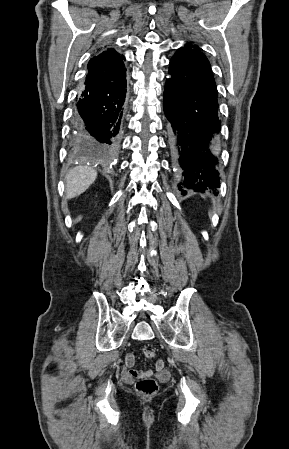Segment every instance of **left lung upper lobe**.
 <instances>
[{
  "label": "left lung upper lobe",
  "instance_id": "obj_1",
  "mask_svg": "<svg viewBox=\"0 0 289 449\" xmlns=\"http://www.w3.org/2000/svg\"><path fill=\"white\" fill-rule=\"evenodd\" d=\"M186 46H187V47H191V45H190V44H187ZM195 48H198V47H196V46H195Z\"/></svg>",
  "mask_w": 289,
  "mask_h": 449
}]
</instances>
